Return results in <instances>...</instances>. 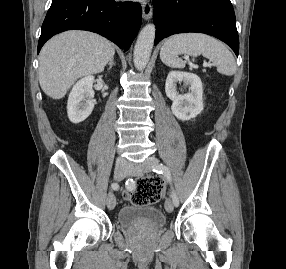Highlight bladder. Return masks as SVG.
<instances>
[{
  "label": "bladder",
  "instance_id": "31cf9c89",
  "mask_svg": "<svg viewBox=\"0 0 286 269\" xmlns=\"http://www.w3.org/2000/svg\"><path fill=\"white\" fill-rule=\"evenodd\" d=\"M117 222L121 227L130 230H157L166 225V217L156 207L132 203L119 209Z\"/></svg>",
  "mask_w": 286,
  "mask_h": 269
}]
</instances>
